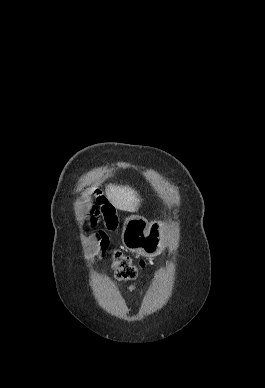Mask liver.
<instances>
[{
    "label": "liver",
    "instance_id": "obj_1",
    "mask_svg": "<svg viewBox=\"0 0 265 388\" xmlns=\"http://www.w3.org/2000/svg\"><path fill=\"white\" fill-rule=\"evenodd\" d=\"M107 200L117 208V210H124V212H137L140 206L139 198L135 190H131L129 186H106Z\"/></svg>",
    "mask_w": 265,
    "mask_h": 388
}]
</instances>
